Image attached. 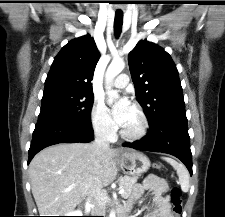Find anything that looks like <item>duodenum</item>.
Wrapping results in <instances>:
<instances>
[{
    "label": "duodenum",
    "instance_id": "410a0bca",
    "mask_svg": "<svg viewBox=\"0 0 225 217\" xmlns=\"http://www.w3.org/2000/svg\"><path fill=\"white\" fill-rule=\"evenodd\" d=\"M118 217H127L126 214L121 213Z\"/></svg>",
    "mask_w": 225,
    "mask_h": 217
}]
</instances>
